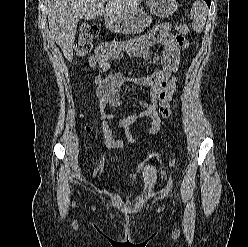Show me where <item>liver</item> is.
<instances>
[{
  "instance_id": "6515ba94",
  "label": "liver",
  "mask_w": 248,
  "mask_h": 247,
  "mask_svg": "<svg viewBox=\"0 0 248 247\" xmlns=\"http://www.w3.org/2000/svg\"><path fill=\"white\" fill-rule=\"evenodd\" d=\"M143 0H48V23L55 42L71 61L77 24L80 19L107 16L110 19L127 18L136 12Z\"/></svg>"
}]
</instances>
